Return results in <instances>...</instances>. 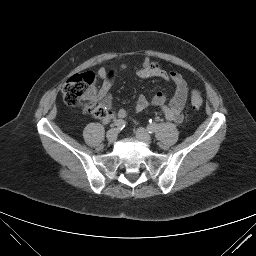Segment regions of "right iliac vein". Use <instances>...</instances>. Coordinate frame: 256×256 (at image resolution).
<instances>
[{
    "instance_id": "1",
    "label": "right iliac vein",
    "mask_w": 256,
    "mask_h": 256,
    "mask_svg": "<svg viewBox=\"0 0 256 256\" xmlns=\"http://www.w3.org/2000/svg\"><path fill=\"white\" fill-rule=\"evenodd\" d=\"M117 136H118V131H117V129H115V128L110 129V130L107 132V134H106V138H107V140H108L110 143H113L114 141H116Z\"/></svg>"
}]
</instances>
